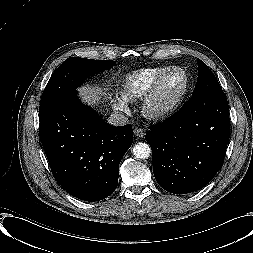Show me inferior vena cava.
<instances>
[{"mask_svg": "<svg viewBox=\"0 0 253 253\" xmlns=\"http://www.w3.org/2000/svg\"><path fill=\"white\" fill-rule=\"evenodd\" d=\"M108 123L114 126H123L128 123V118L123 114L114 113L108 118Z\"/></svg>", "mask_w": 253, "mask_h": 253, "instance_id": "602c4592", "label": "inferior vena cava"}]
</instances>
